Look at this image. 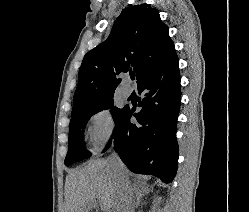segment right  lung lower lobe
I'll return each mask as SVG.
<instances>
[{
    "instance_id": "1",
    "label": "right lung lower lobe",
    "mask_w": 249,
    "mask_h": 212,
    "mask_svg": "<svg viewBox=\"0 0 249 212\" xmlns=\"http://www.w3.org/2000/svg\"><path fill=\"white\" fill-rule=\"evenodd\" d=\"M144 97L134 108L124 107L115 123L114 148L134 173L149 174L172 182L177 171L176 122L180 107V74L175 55L138 84ZM134 116L137 124L130 122ZM111 141L106 146V151Z\"/></svg>"
}]
</instances>
